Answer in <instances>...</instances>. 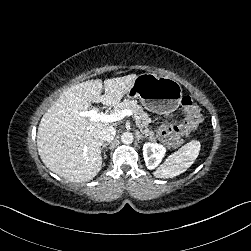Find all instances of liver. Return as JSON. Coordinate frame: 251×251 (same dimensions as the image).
I'll list each match as a JSON object with an SVG mask.
<instances>
[{
    "instance_id": "6515ba94",
    "label": "liver",
    "mask_w": 251,
    "mask_h": 251,
    "mask_svg": "<svg viewBox=\"0 0 251 251\" xmlns=\"http://www.w3.org/2000/svg\"><path fill=\"white\" fill-rule=\"evenodd\" d=\"M135 74L106 79L88 80L69 87L42 117L37 145L41 160L51 171L71 182L89 181L101 169L100 131L107 124L90 123L88 144L84 149V127L91 102L115 105L129 90Z\"/></svg>"
}]
</instances>
